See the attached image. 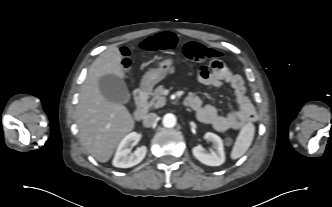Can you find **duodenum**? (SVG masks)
I'll return each instance as SVG.
<instances>
[{
	"instance_id": "duodenum-1",
	"label": "duodenum",
	"mask_w": 332,
	"mask_h": 207,
	"mask_svg": "<svg viewBox=\"0 0 332 207\" xmlns=\"http://www.w3.org/2000/svg\"><path fill=\"white\" fill-rule=\"evenodd\" d=\"M148 89L146 87H140L134 92V100L137 104L134 112V117L137 121H142L148 111L147 105ZM191 99L187 97L185 99L186 106H190Z\"/></svg>"
}]
</instances>
